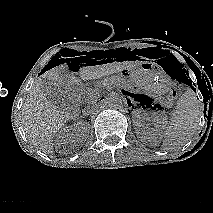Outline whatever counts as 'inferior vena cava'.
<instances>
[{
  "mask_svg": "<svg viewBox=\"0 0 213 213\" xmlns=\"http://www.w3.org/2000/svg\"><path fill=\"white\" fill-rule=\"evenodd\" d=\"M92 112V109L88 108L86 109V114H90Z\"/></svg>",
  "mask_w": 213,
  "mask_h": 213,
  "instance_id": "1",
  "label": "inferior vena cava"
}]
</instances>
